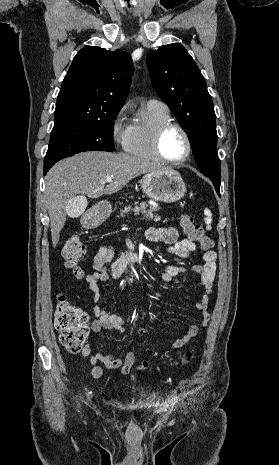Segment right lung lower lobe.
I'll return each instance as SVG.
<instances>
[{"instance_id":"right-lung-lower-lobe-1","label":"right lung lower lobe","mask_w":279,"mask_h":465,"mask_svg":"<svg viewBox=\"0 0 279 465\" xmlns=\"http://www.w3.org/2000/svg\"><path fill=\"white\" fill-rule=\"evenodd\" d=\"M52 166H53V165H52ZM52 166L44 167V175L48 172V170H49Z\"/></svg>"}]
</instances>
